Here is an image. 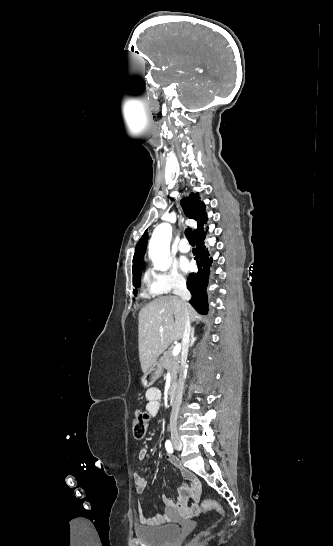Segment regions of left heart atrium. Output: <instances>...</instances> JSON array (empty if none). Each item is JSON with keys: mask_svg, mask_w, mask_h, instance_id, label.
Returning a JSON list of instances; mask_svg holds the SVG:
<instances>
[{"mask_svg": "<svg viewBox=\"0 0 333 546\" xmlns=\"http://www.w3.org/2000/svg\"><path fill=\"white\" fill-rule=\"evenodd\" d=\"M179 266H180L181 270L184 271V272H187L190 269V264L185 258H182L180 260Z\"/></svg>", "mask_w": 333, "mask_h": 546, "instance_id": "obj_1", "label": "left heart atrium"}]
</instances>
